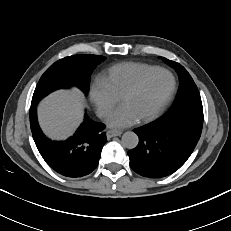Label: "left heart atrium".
Segmentation results:
<instances>
[{"instance_id": "1", "label": "left heart atrium", "mask_w": 231, "mask_h": 231, "mask_svg": "<svg viewBox=\"0 0 231 231\" xmlns=\"http://www.w3.org/2000/svg\"><path fill=\"white\" fill-rule=\"evenodd\" d=\"M137 120L138 117L132 109L123 104L108 117L107 124L113 128H122L134 124Z\"/></svg>"}]
</instances>
